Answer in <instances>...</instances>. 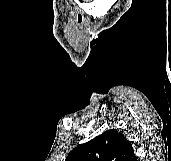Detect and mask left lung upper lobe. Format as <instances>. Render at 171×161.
Segmentation results:
<instances>
[{
	"label": "left lung upper lobe",
	"mask_w": 171,
	"mask_h": 161,
	"mask_svg": "<svg viewBox=\"0 0 171 161\" xmlns=\"http://www.w3.org/2000/svg\"><path fill=\"white\" fill-rule=\"evenodd\" d=\"M134 157L131 142L111 129L74 148L65 161H131Z\"/></svg>",
	"instance_id": "5c2ea615"
}]
</instances>
